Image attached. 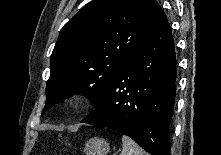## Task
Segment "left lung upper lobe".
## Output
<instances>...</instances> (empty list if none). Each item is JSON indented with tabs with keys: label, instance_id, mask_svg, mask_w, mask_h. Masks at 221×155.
Returning <instances> with one entry per match:
<instances>
[{
	"label": "left lung upper lobe",
	"instance_id": "obj_1",
	"mask_svg": "<svg viewBox=\"0 0 221 155\" xmlns=\"http://www.w3.org/2000/svg\"><path fill=\"white\" fill-rule=\"evenodd\" d=\"M163 10L155 0H92L61 29L46 84L49 109L83 92L96 106Z\"/></svg>",
	"mask_w": 221,
	"mask_h": 155
}]
</instances>
